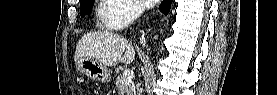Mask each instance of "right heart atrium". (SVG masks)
Segmentation results:
<instances>
[{
	"label": "right heart atrium",
	"mask_w": 277,
	"mask_h": 95,
	"mask_svg": "<svg viewBox=\"0 0 277 95\" xmlns=\"http://www.w3.org/2000/svg\"><path fill=\"white\" fill-rule=\"evenodd\" d=\"M121 4L119 11L117 12L118 17V28H122L134 21L140 14V7L134 0H116Z\"/></svg>",
	"instance_id": "right-heart-atrium-1"
}]
</instances>
